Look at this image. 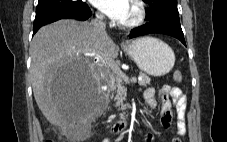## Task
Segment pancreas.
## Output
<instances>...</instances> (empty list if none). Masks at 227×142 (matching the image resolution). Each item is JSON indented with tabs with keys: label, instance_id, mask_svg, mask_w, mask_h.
I'll list each match as a JSON object with an SVG mask.
<instances>
[{
	"label": "pancreas",
	"instance_id": "cf45deb5",
	"mask_svg": "<svg viewBox=\"0 0 227 142\" xmlns=\"http://www.w3.org/2000/svg\"><path fill=\"white\" fill-rule=\"evenodd\" d=\"M139 76L141 77V80H139L140 86H147L150 83L151 79L145 73L140 72ZM113 80V87L116 88V106L123 111L127 107V105L124 104V101L126 100L127 96V88L123 85V81L121 78H119L118 75H116Z\"/></svg>",
	"mask_w": 227,
	"mask_h": 142
}]
</instances>
